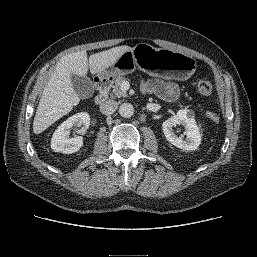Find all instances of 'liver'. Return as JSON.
<instances>
[{
	"mask_svg": "<svg viewBox=\"0 0 257 257\" xmlns=\"http://www.w3.org/2000/svg\"><path fill=\"white\" fill-rule=\"evenodd\" d=\"M133 48L113 47L87 57L85 50L70 53L61 58L46 84L33 122V132L40 134L79 104L80 97L75 92L71 76L86 77L100 74L111 67L118 58Z\"/></svg>",
	"mask_w": 257,
	"mask_h": 257,
	"instance_id": "obj_1",
	"label": "liver"
}]
</instances>
